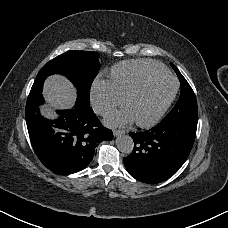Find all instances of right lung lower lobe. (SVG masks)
I'll list each match as a JSON object with an SVG mask.
<instances>
[{
    "instance_id": "98d812e1",
    "label": "right lung lower lobe",
    "mask_w": 228,
    "mask_h": 228,
    "mask_svg": "<svg viewBox=\"0 0 228 228\" xmlns=\"http://www.w3.org/2000/svg\"><path fill=\"white\" fill-rule=\"evenodd\" d=\"M44 102L41 92L29 94L25 117L33 149L43 165L56 174H71L85 168L93 159L95 147L113 139L90 106L80 103L70 110H60V117L48 120L41 116Z\"/></svg>"
}]
</instances>
